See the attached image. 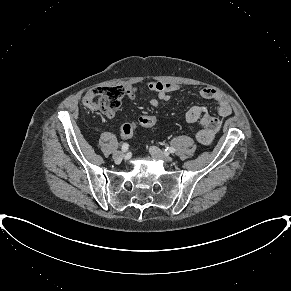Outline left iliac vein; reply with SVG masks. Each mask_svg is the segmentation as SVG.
Listing matches in <instances>:
<instances>
[{
  "instance_id": "1",
  "label": "left iliac vein",
  "mask_w": 291,
  "mask_h": 291,
  "mask_svg": "<svg viewBox=\"0 0 291 291\" xmlns=\"http://www.w3.org/2000/svg\"><path fill=\"white\" fill-rule=\"evenodd\" d=\"M149 152L153 158L163 160L165 162H172L173 158L168 154L164 153L161 149L156 146H151Z\"/></svg>"
}]
</instances>
